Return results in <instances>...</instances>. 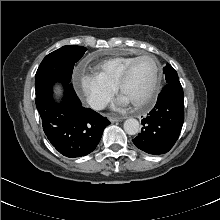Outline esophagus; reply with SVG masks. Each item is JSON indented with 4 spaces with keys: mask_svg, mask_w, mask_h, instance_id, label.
I'll return each instance as SVG.
<instances>
[{
    "mask_svg": "<svg viewBox=\"0 0 220 220\" xmlns=\"http://www.w3.org/2000/svg\"><path fill=\"white\" fill-rule=\"evenodd\" d=\"M123 119H125V117H109V120L114 123V122H118V121H122Z\"/></svg>",
    "mask_w": 220,
    "mask_h": 220,
    "instance_id": "esophagus-1",
    "label": "esophagus"
}]
</instances>
